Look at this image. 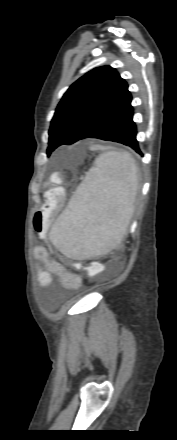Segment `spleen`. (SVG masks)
Masks as SVG:
<instances>
[{
	"label": "spleen",
	"mask_w": 177,
	"mask_h": 440,
	"mask_svg": "<svg viewBox=\"0 0 177 440\" xmlns=\"http://www.w3.org/2000/svg\"><path fill=\"white\" fill-rule=\"evenodd\" d=\"M137 186V166L128 152L102 153L54 223L50 240L73 259L108 253L126 234Z\"/></svg>",
	"instance_id": "3e777b00"
}]
</instances>
